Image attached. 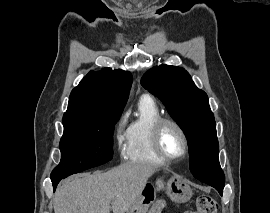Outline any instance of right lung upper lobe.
Segmentation results:
<instances>
[{
    "label": "right lung upper lobe",
    "mask_w": 270,
    "mask_h": 213,
    "mask_svg": "<svg viewBox=\"0 0 270 213\" xmlns=\"http://www.w3.org/2000/svg\"><path fill=\"white\" fill-rule=\"evenodd\" d=\"M131 82L132 75L128 71L110 68L90 71L72 90L63 118L107 117L121 113Z\"/></svg>",
    "instance_id": "obj_1"
}]
</instances>
